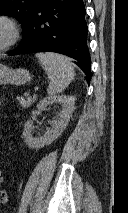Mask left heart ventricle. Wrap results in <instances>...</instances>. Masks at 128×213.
Masks as SVG:
<instances>
[{
    "instance_id": "left-heart-ventricle-1",
    "label": "left heart ventricle",
    "mask_w": 128,
    "mask_h": 213,
    "mask_svg": "<svg viewBox=\"0 0 128 213\" xmlns=\"http://www.w3.org/2000/svg\"><path fill=\"white\" fill-rule=\"evenodd\" d=\"M10 36V30L8 28V26L3 23L0 22V46L4 45Z\"/></svg>"
}]
</instances>
